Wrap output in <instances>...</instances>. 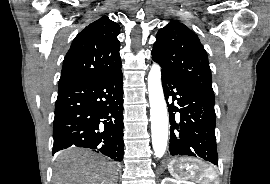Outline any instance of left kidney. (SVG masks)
Segmentation results:
<instances>
[{
	"instance_id": "5707ae66",
	"label": "left kidney",
	"mask_w": 270,
	"mask_h": 184,
	"mask_svg": "<svg viewBox=\"0 0 270 184\" xmlns=\"http://www.w3.org/2000/svg\"><path fill=\"white\" fill-rule=\"evenodd\" d=\"M193 184V183H187L180 180L172 179L169 177H166L162 180L161 184Z\"/></svg>"
}]
</instances>
